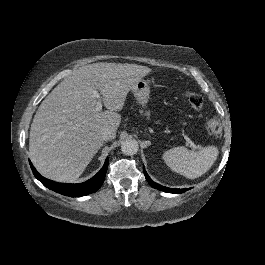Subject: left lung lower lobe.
Listing matches in <instances>:
<instances>
[{
  "label": "left lung lower lobe",
  "instance_id": "obj_1",
  "mask_svg": "<svg viewBox=\"0 0 265 265\" xmlns=\"http://www.w3.org/2000/svg\"><path fill=\"white\" fill-rule=\"evenodd\" d=\"M144 169V174H145V177H146V180L150 183V185L158 190H161V191H164V192H167V193H183L185 191H187L188 189H172V188H168V187H164L158 183H155L153 180H151V178L148 176L147 172L145 171V168Z\"/></svg>",
  "mask_w": 265,
  "mask_h": 265
}]
</instances>
